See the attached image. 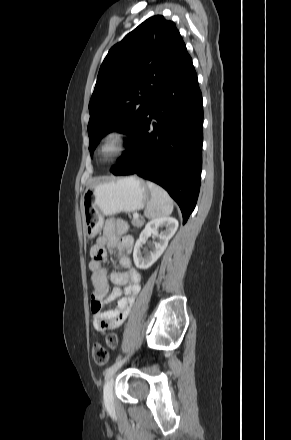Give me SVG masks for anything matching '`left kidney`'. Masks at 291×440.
Wrapping results in <instances>:
<instances>
[{"mask_svg":"<svg viewBox=\"0 0 291 440\" xmlns=\"http://www.w3.org/2000/svg\"><path fill=\"white\" fill-rule=\"evenodd\" d=\"M160 228H164L161 233L158 232ZM177 229L178 221L173 217H158L148 222L134 246L133 260L135 266L139 269L151 267L163 254L168 241L173 237ZM151 236L158 238V242H154L150 252H142L143 246Z\"/></svg>","mask_w":291,"mask_h":440,"instance_id":"left-kidney-1","label":"left kidney"}]
</instances>
